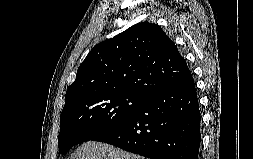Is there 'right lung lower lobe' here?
Returning a JSON list of instances; mask_svg holds the SVG:
<instances>
[{"mask_svg":"<svg viewBox=\"0 0 253 159\" xmlns=\"http://www.w3.org/2000/svg\"><path fill=\"white\" fill-rule=\"evenodd\" d=\"M200 119L190 75L149 95L127 119L92 140L151 159H198Z\"/></svg>","mask_w":253,"mask_h":159,"instance_id":"obj_1","label":"right lung lower lobe"}]
</instances>
